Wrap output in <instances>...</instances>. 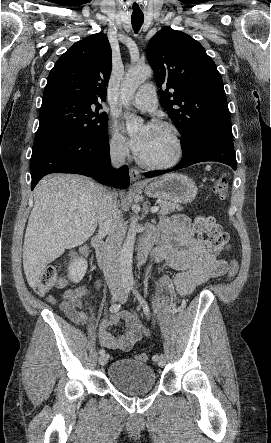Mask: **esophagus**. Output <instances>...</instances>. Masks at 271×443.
I'll use <instances>...</instances> for the list:
<instances>
[{"mask_svg": "<svg viewBox=\"0 0 271 443\" xmlns=\"http://www.w3.org/2000/svg\"><path fill=\"white\" fill-rule=\"evenodd\" d=\"M140 172L136 168H130V180L135 185L142 186L144 182H140Z\"/></svg>", "mask_w": 271, "mask_h": 443, "instance_id": "obj_1", "label": "esophagus"}]
</instances>
